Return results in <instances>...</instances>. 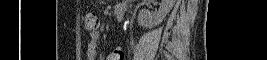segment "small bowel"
<instances>
[{
    "instance_id": "c3829d8e",
    "label": "small bowel",
    "mask_w": 267,
    "mask_h": 60,
    "mask_svg": "<svg viewBox=\"0 0 267 60\" xmlns=\"http://www.w3.org/2000/svg\"><path fill=\"white\" fill-rule=\"evenodd\" d=\"M100 32H95L89 35V40L86 49L87 60H96L100 44ZM124 54L121 51H113L107 56V60H124Z\"/></svg>"
}]
</instances>
